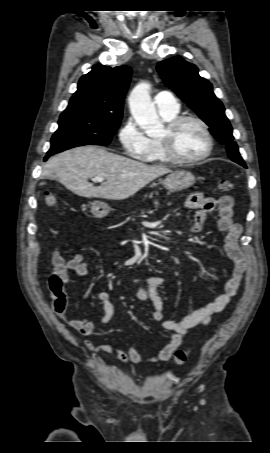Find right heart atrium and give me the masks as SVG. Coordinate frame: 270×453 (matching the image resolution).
Here are the masks:
<instances>
[{"instance_id": "d8ad5b80", "label": "right heart atrium", "mask_w": 270, "mask_h": 453, "mask_svg": "<svg viewBox=\"0 0 270 453\" xmlns=\"http://www.w3.org/2000/svg\"><path fill=\"white\" fill-rule=\"evenodd\" d=\"M118 138L124 153L133 158L141 157L149 145V138L132 117L121 126Z\"/></svg>"}]
</instances>
